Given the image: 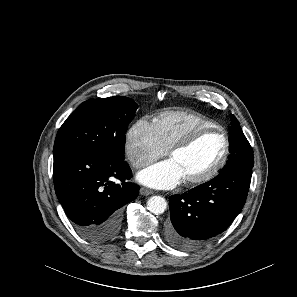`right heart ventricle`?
<instances>
[{"mask_svg": "<svg viewBox=\"0 0 297 297\" xmlns=\"http://www.w3.org/2000/svg\"><path fill=\"white\" fill-rule=\"evenodd\" d=\"M156 136L162 146L169 150L173 144L190 131L216 124L195 113L187 111H167L153 119Z\"/></svg>", "mask_w": 297, "mask_h": 297, "instance_id": "e07e8e85", "label": "right heart ventricle"}]
</instances>
